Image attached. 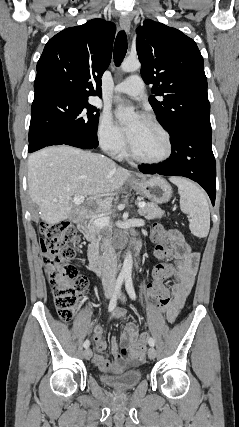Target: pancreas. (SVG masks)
I'll return each instance as SVG.
<instances>
[{"label":"pancreas","instance_id":"cf45deb5","mask_svg":"<svg viewBox=\"0 0 239 427\" xmlns=\"http://www.w3.org/2000/svg\"><path fill=\"white\" fill-rule=\"evenodd\" d=\"M140 216H144L146 219H155V218H162L165 215V212L161 210V208L158 207L155 203H147L145 207L141 208L139 210ZM101 233L110 234L111 228H104V229H95V236H94V243L96 246H99V242L101 240Z\"/></svg>","mask_w":239,"mask_h":427}]
</instances>
